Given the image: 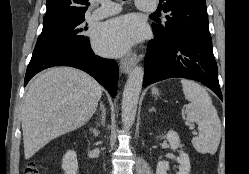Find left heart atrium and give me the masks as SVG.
I'll return each mask as SVG.
<instances>
[{"instance_id":"obj_1","label":"left heart atrium","mask_w":249,"mask_h":174,"mask_svg":"<svg viewBox=\"0 0 249 174\" xmlns=\"http://www.w3.org/2000/svg\"><path fill=\"white\" fill-rule=\"evenodd\" d=\"M144 25L135 16H122L107 21L94 36L95 49L106 56L125 54L143 37Z\"/></svg>"}]
</instances>
